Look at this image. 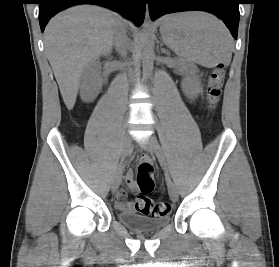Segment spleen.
<instances>
[{
	"label": "spleen",
	"instance_id": "obj_1",
	"mask_svg": "<svg viewBox=\"0 0 279 267\" xmlns=\"http://www.w3.org/2000/svg\"><path fill=\"white\" fill-rule=\"evenodd\" d=\"M173 20L175 25L161 28V33L164 43L176 54L207 67L231 62L232 37L217 17L190 11L173 15Z\"/></svg>",
	"mask_w": 279,
	"mask_h": 267
}]
</instances>
